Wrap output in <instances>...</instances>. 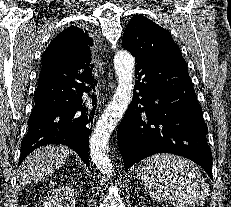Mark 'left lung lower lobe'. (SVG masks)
<instances>
[{
    "label": "left lung lower lobe",
    "mask_w": 231,
    "mask_h": 207,
    "mask_svg": "<svg viewBox=\"0 0 231 207\" xmlns=\"http://www.w3.org/2000/svg\"><path fill=\"white\" fill-rule=\"evenodd\" d=\"M135 60L133 99L117 134L125 169L155 153H172L200 165L213 179L207 126L187 65Z\"/></svg>",
    "instance_id": "0a47b994"
}]
</instances>
